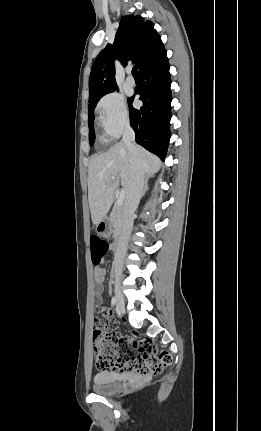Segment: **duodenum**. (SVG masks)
<instances>
[{
	"label": "duodenum",
	"mask_w": 261,
	"mask_h": 431,
	"mask_svg": "<svg viewBox=\"0 0 261 431\" xmlns=\"http://www.w3.org/2000/svg\"><path fill=\"white\" fill-rule=\"evenodd\" d=\"M119 246H120V239H117L112 246V250L114 253H118Z\"/></svg>",
	"instance_id": "410a0bca"
}]
</instances>
